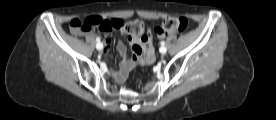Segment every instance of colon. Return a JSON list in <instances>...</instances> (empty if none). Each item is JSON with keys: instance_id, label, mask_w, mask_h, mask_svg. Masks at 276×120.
I'll return each mask as SVG.
<instances>
[{"instance_id": "obj_1", "label": "colon", "mask_w": 276, "mask_h": 120, "mask_svg": "<svg viewBox=\"0 0 276 120\" xmlns=\"http://www.w3.org/2000/svg\"><path fill=\"white\" fill-rule=\"evenodd\" d=\"M190 21L187 17H167L162 23V27L156 30V34L159 37H165L167 34L183 32L189 27ZM92 28H98L103 32H108L113 29V25L110 20H104L100 17H88L83 20L74 19L69 24V31L74 35H78ZM116 30H119L122 34L126 35L129 39L145 40L148 37L150 31L146 30L143 21L135 19L128 22H120L116 24ZM138 53H141V49H135Z\"/></svg>"}]
</instances>
